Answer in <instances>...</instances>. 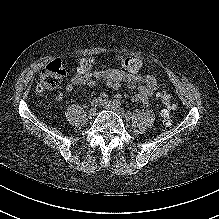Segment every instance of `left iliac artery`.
<instances>
[{"instance_id":"obj_1","label":"left iliac artery","mask_w":219,"mask_h":219,"mask_svg":"<svg viewBox=\"0 0 219 219\" xmlns=\"http://www.w3.org/2000/svg\"><path fill=\"white\" fill-rule=\"evenodd\" d=\"M113 104L116 105L117 107H120L121 102H120V100H114Z\"/></svg>"}]
</instances>
